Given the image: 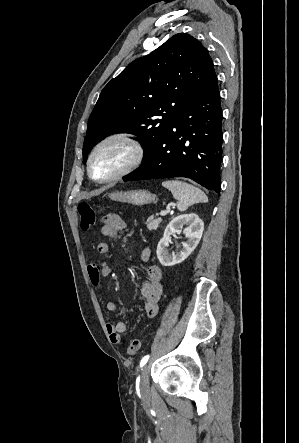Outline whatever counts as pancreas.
I'll return each mask as SVG.
<instances>
[{
  "label": "pancreas",
  "instance_id": "cf45deb5",
  "mask_svg": "<svg viewBox=\"0 0 299 443\" xmlns=\"http://www.w3.org/2000/svg\"><path fill=\"white\" fill-rule=\"evenodd\" d=\"M161 222H162V220L160 218L154 219L153 216H150L147 219V223H146L147 224V229L149 231L157 230V228L159 227Z\"/></svg>",
  "mask_w": 299,
  "mask_h": 443
}]
</instances>
